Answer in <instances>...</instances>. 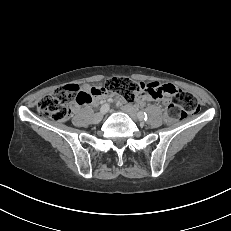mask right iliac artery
<instances>
[{
  "label": "right iliac artery",
  "mask_w": 231,
  "mask_h": 231,
  "mask_svg": "<svg viewBox=\"0 0 231 231\" xmlns=\"http://www.w3.org/2000/svg\"><path fill=\"white\" fill-rule=\"evenodd\" d=\"M101 111L107 112L109 110V105L108 104H104L101 106Z\"/></svg>",
  "instance_id": "82829eb1"
}]
</instances>
